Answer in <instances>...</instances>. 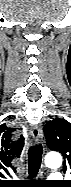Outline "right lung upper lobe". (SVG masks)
<instances>
[{"label": "right lung upper lobe", "mask_w": 71, "mask_h": 187, "mask_svg": "<svg viewBox=\"0 0 71 187\" xmlns=\"http://www.w3.org/2000/svg\"><path fill=\"white\" fill-rule=\"evenodd\" d=\"M13 129L5 124L0 126V163L3 174L16 171L11 166L14 157H19L24 146V138L21 136L17 141L11 140Z\"/></svg>", "instance_id": "obj_1"}]
</instances>
